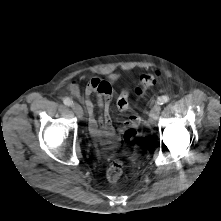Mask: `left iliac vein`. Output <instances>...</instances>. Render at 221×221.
<instances>
[{"label": "left iliac vein", "mask_w": 221, "mask_h": 221, "mask_svg": "<svg viewBox=\"0 0 221 221\" xmlns=\"http://www.w3.org/2000/svg\"><path fill=\"white\" fill-rule=\"evenodd\" d=\"M160 106L159 105H154L150 111V118H149V124L153 125L154 122L158 119L159 112H160Z\"/></svg>", "instance_id": "4c4485c4"}]
</instances>
